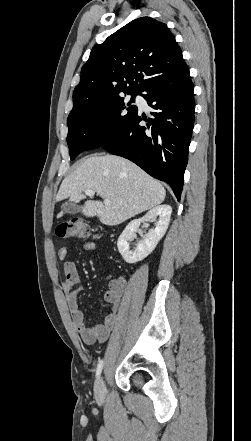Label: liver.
<instances>
[{
  "instance_id": "obj_1",
  "label": "liver",
  "mask_w": 251,
  "mask_h": 441,
  "mask_svg": "<svg viewBox=\"0 0 251 441\" xmlns=\"http://www.w3.org/2000/svg\"><path fill=\"white\" fill-rule=\"evenodd\" d=\"M94 190L100 197L110 200H87L82 214L97 216L102 224L114 226L161 204L166 191L160 182L145 173L131 161L115 155H93L86 158L68 175L59 188L57 201L70 198L79 202L83 192ZM63 212L58 214V218Z\"/></svg>"
}]
</instances>
